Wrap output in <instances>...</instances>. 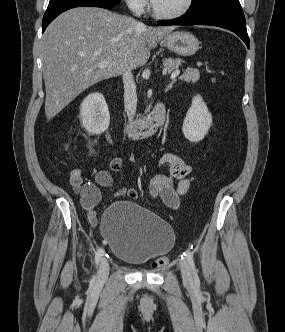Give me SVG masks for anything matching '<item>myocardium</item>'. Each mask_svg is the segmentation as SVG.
Wrapping results in <instances>:
<instances>
[{
	"mask_svg": "<svg viewBox=\"0 0 285 332\" xmlns=\"http://www.w3.org/2000/svg\"><path fill=\"white\" fill-rule=\"evenodd\" d=\"M194 0H186L184 6L174 13H161L156 10L154 4L151 7L152 15L161 20H175L184 16L192 7Z\"/></svg>",
	"mask_w": 285,
	"mask_h": 332,
	"instance_id": "obj_1",
	"label": "myocardium"
}]
</instances>
